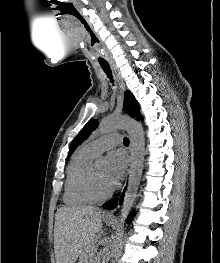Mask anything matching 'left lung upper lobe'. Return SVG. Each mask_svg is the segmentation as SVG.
<instances>
[{"label": "left lung upper lobe", "mask_w": 220, "mask_h": 263, "mask_svg": "<svg viewBox=\"0 0 220 263\" xmlns=\"http://www.w3.org/2000/svg\"><path fill=\"white\" fill-rule=\"evenodd\" d=\"M124 110L130 116L136 117L138 120L141 119L139 113V104L134 98L133 94L129 91H126L125 93ZM97 123V120H91L82 128V130L72 141L68 156H70L74 152L78 145H80L84 140H86L89 137L91 132L96 128Z\"/></svg>", "instance_id": "left-lung-upper-lobe-1"}]
</instances>
